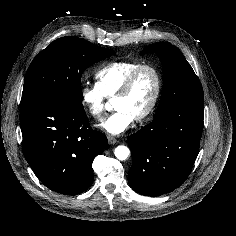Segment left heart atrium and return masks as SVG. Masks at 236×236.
<instances>
[{"label": "left heart atrium", "mask_w": 236, "mask_h": 236, "mask_svg": "<svg viewBox=\"0 0 236 236\" xmlns=\"http://www.w3.org/2000/svg\"><path fill=\"white\" fill-rule=\"evenodd\" d=\"M135 118L126 110L116 109L102 124L101 127L112 135L125 132L133 123Z\"/></svg>", "instance_id": "obj_1"}]
</instances>
